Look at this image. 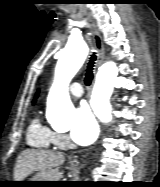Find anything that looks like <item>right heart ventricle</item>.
Returning <instances> with one entry per match:
<instances>
[{
  "mask_svg": "<svg viewBox=\"0 0 160 187\" xmlns=\"http://www.w3.org/2000/svg\"><path fill=\"white\" fill-rule=\"evenodd\" d=\"M27 142L34 148L51 149L56 146L55 133L35 118L28 127Z\"/></svg>",
  "mask_w": 160,
  "mask_h": 187,
  "instance_id": "obj_1",
  "label": "right heart ventricle"
}]
</instances>
